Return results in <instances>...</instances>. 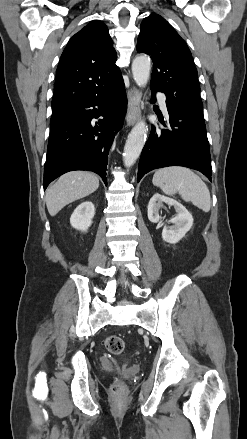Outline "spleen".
Segmentation results:
<instances>
[{
	"label": "spleen",
	"mask_w": 247,
	"mask_h": 439,
	"mask_svg": "<svg viewBox=\"0 0 247 439\" xmlns=\"http://www.w3.org/2000/svg\"><path fill=\"white\" fill-rule=\"evenodd\" d=\"M152 182L167 195L179 193L186 202H192L203 212L211 207L210 192L202 179L185 167H166L155 172Z\"/></svg>",
	"instance_id": "spleen-1"
}]
</instances>
